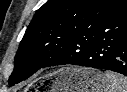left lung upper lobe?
Segmentation results:
<instances>
[{"label": "left lung upper lobe", "instance_id": "left-lung-upper-lobe-1", "mask_svg": "<svg viewBox=\"0 0 127 92\" xmlns=\"http://www.w3.org/2000/svg\"><path fill=\"white\" fill-rule=\"evenodd\" d=\"M125 0H48L35 13L15 56L12 86L42 68L79 32Z\"/></svg>", "mask_w": 127, "mask_h": 92}]
</instances>
